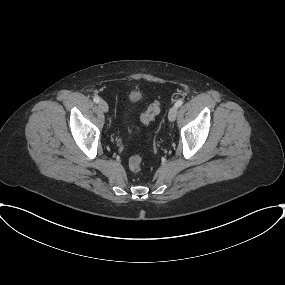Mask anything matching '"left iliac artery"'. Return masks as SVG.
Segmentation results:
<instances>
[{
    "label": "left iliac artery",
    "mask_w": 285,
    "mask_h": 285,
    "mask_svg": "<svg viewBox=\"0 0 285 285\" xmlns=\"http://www.w3.org/2000/svg\"><path fill=\"white\" fill-rule=\"evenodd\" d=\"M183 104V101L181 99H179L176 103L175 106L178 108Z\"/></svg>",
    "instance_id": "1"
}]
</instances>
